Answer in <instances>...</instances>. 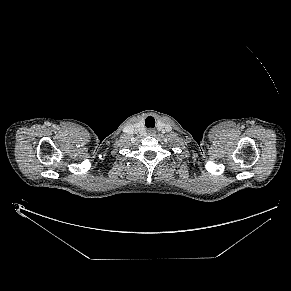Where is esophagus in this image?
<instances>
[{
	"instance_id": "esophagus-1",
	"label": "esophagus",
	"mask_w": 291,
	"mask_h": 291,
	"mask_svg": "<svg viewBox=\"0 0 291 291\" xmlns=\"http://www.w3.org/2000/svg\"><path fill=\"white\" fill-rule=\"evenodd\" d=\"M148 132H149V134H154V130L153 129H149Z\"/></svg>"
}]
</instances>
